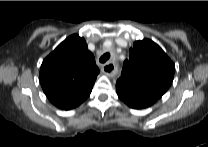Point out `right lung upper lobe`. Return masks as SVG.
I'll list each match as a JSON object with an SVG mask.
<instances>
[{
  "label": "right lung upper lobe",
  "mask_w": 208,
  "mask_h": 147,
  "mask_svg": "<svg viewBox=\"0 0 208 147\" xmlns=\"http://www.w3.org/2000/svg\"><path fill=\"white\" fill-rule=\"evenodd\" d=\"M99 69L83 37L66 38L42 62L40 83L58 108L70 110L90 95Z\"/></svg>",
  "instance_id": "obj_1"
}]
</instances>
